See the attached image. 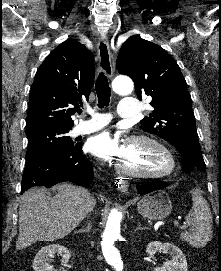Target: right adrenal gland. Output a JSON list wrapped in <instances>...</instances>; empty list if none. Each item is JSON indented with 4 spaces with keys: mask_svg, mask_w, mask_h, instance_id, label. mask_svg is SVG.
I'll list each match as a JSON object with an SVG mask.
<instances>
[{
    "mask_svg": "<svg viewBox=\"0 0 221 271\" xmlns=\"http://www.w3.org/2000/svg\"><path fill=\"white\" fill-rule=\"evenodd\" d=\"M91 227V221H87L86 227H84V229H80V231H90Z\"/></svg>",
    "mask_w": 221,
    "mask_h": 271,
    "instance_id": "obj_1",
    "label": "right adrenal gland"
}]
</instances>
